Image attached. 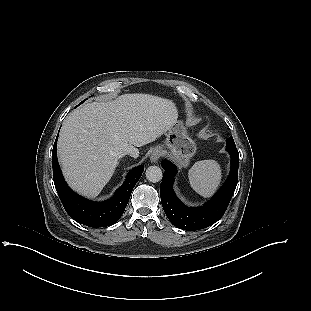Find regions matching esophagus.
Listing matches in <instances>:
<instances>
[{"label":"esophagus","instance_id":"34e87169","mask_svg":"<svg viewBox=\"0 0 311 311\" xmlns=\"http://www.w3.org/2000/svg\"><path fill=\"white\" fill-rule=\"evenodd\" d=\"M161 157V149L156 148L153 150L152 154H151V162H157L159 160V158Z\"/></svg>","mask_w":311,"mask_h":311}]
</instances>
